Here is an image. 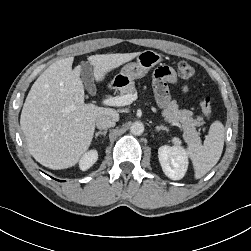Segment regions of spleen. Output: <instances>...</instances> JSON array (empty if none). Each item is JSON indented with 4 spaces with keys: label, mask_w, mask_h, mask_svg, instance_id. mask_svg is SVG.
<instances>
[{
    "label": "spleen",
    "mask_w": 251,
    "mask_h": 251,
    "mask_svg": "<svg viewBox=\"0 0 251 251\" xmlns=\"http://www.w3.org/2000/svg\"><path fill=\"white\" fill-rule=\"evenodd\" d=\"M224 139V125L216 120L210 125L203 144L188 143V154L194 166L196 179L203 177L217 164L223 151ZM172 142L176 146L181 144V140L177 137L172 138Z\"/></svg>",
    "instance_id": "3e777b00"
}]
</instances>
